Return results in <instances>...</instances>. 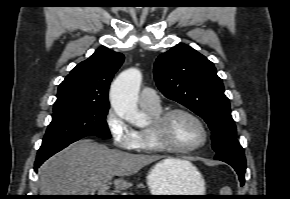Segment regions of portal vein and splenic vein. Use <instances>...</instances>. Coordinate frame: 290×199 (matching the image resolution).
Here are the masks:
<instances>
[{
    "instance_id": "1",
    "label": "portal vein and splenic vein",
    "mask_w": 290,
    "mask_h": 199,
    "mask_svg": "<svg viewBox=\"0 0 290 199\" xmlns=\"http://www.w3.org/2000/svg\"><path fill=\"white\" fill-rule=\"evenodd\" d=\"M108 188L109 186L107 183L103 184L98 190V195H112L108 192Z\"/></svg>"
}]
</instances>
